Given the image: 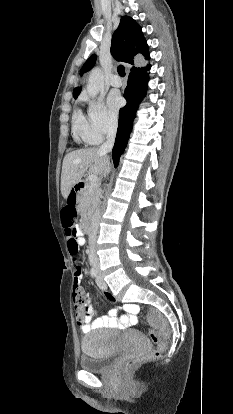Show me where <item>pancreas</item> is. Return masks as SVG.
Instances as JSON below:
<instances>
[{"mask_svg":"<svg viewBox=\"0 0 233 414\" xmlns=\"http://www.w3.org/2000/svg\"><path fill=\"white\" fill-rule=\"evenodd\" d=\"M97 185L87 183L85 190L79 196L78 210L82 217L90 216L97 202Z\"/></svg>","mask_w":233,"mask_h":414,"instance_id":"cf45deb5","label":"pancreas"}]
</instances>
